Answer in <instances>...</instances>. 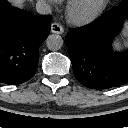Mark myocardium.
Here are the masks:
<instances>
[{
  "label": "myocardium",
  "instance_id": "f54148a6",
  "mask_svg": "<svg viewBox=\"0 0 128 128\" xmlns=\"http://www.w3.org/2000/svg\"><path fill=\"white\" fill-rule=\"evenodd\" d=\"M109 0H70L67 16L71 22L84 25L95 20L105 9Z\"/></svg>",
  "mask_w": 128,
  "mask_h": 128
}]
</instances>
